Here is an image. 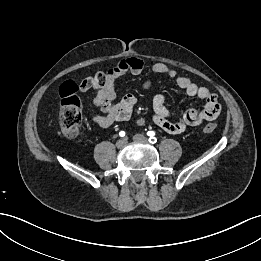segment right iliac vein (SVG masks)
<instances>
[{
  "label": "right iliac vein",
  "instance_id": "1",
  "mask_svg": "<svg viewBox=\"0 0 261 261\" xmlns=\"http://www.w3.org/2000/svg\"><path fill=\"white\" fill-rule=\"evenodd\" d=\"M126 143H127L126 139H120V140H118V141L116 142V147H117L118 149H122V148L125 147Z\"/></svg>",
  "mask_w": 261,
  "mask_h": 261
}]
</instances>
